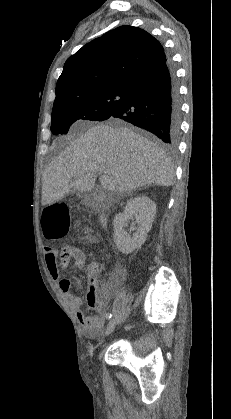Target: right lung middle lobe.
<instances>
[{
    "label": "right lung middle lobe",
    "mask_w": 231,
    "mask_h": 419,
    "mask_svg": "<svg viewBox=\"0 0 231 419\" xmlns=\"http://www.w3.org/2000/svg\"><path fill=\"white\" fill-rule=\"evenodd\" d=\"M128 89L102 88L83 92L53 105L51 131L65 134L77 120L102 121L107 119L125 100Z\"/></svg>",
    "instance_id": "right-lung-middle-lobe-1"
}]
</instances>
